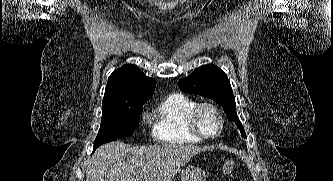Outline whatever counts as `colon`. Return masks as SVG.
<instances>
[{"mask_svg":"<svg viewBox=\"0 0 333 181\" xmlns=\"http://www.w3.org/2000/svg\"><path fill=\"white\" fill-rule=\"evenodd\" d=\"M235 169H236V163H235L234 160H228V161H226L224 163V165H223V168H222L223 173L225 175H228V176L232 175L233 172L235 171Z\"/></svg>","mask_w":333,"mask_h":181,"instance_id":"obj_1","label":"colon"}]
</instances>
